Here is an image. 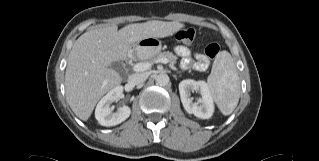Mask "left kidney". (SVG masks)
Here are the masks:
<instances>
[{
	"label": "left kidney",
	"mask_w": 319,
	"mask_h": 161,
	"mask_svg": "<svg viewBox=\"0 0 319 161\" xmlns=\"http://www.w3.org/2000/svg\"><path fill=\"white\" fill-rule=\"evenodd\" d=\"M192 91L199 92L201 95V98L197 102H193V98L191 97ZM179 92L181 102L187 113L194 114L201 119H209L213 115V99L204 81L183 80L179 83Z\"/></svg>",
	"instance_id": "left-kidney-1"
}]
</instances>
